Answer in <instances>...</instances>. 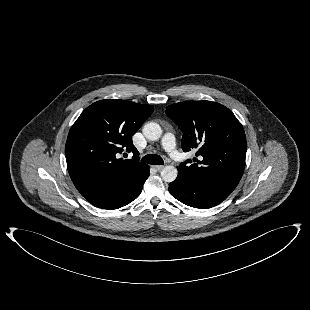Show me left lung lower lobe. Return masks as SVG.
<instances>
[{
	"instance_id": "0a47b994",
	"label": "left lung lower lobe",
	"mask_w": 310,
	"mask_h": 310,
	"mask_svg": "<svg viewBox=\"0 0 310 310\" xmlns=\"http://www.w3.org/2000/svg\"><path fill=\"white\" fill-rule=\"evenodd\" d=\"M173 197L195 208H210L221 203L231 192L206 184L178 173L177 179L169 184Z\"/></svg>"
}]
</instances>
